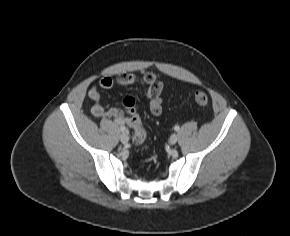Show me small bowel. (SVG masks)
<instances>
[{
    "mask_svg": "<svg viewBox=\"0 0 290 236\" xmlns=\"http://www.w3.org/2000/svg\"><path fill=\"white\" fill-rule=\"evenodd\" d=\"M140 83L147 87L146 96L149 100V109L154 116H159L163 110V84L159 81L155 74L151 72H139L134 74H122L116 79L110 76H104L99 81V87L103 89H111L114 85H130ZM88 97L94 102L92 106V114L96 117H113L115 121L121 125L129 122L125 113L115 107L106 110L100 101L99 89L94 86L90 88Z\"/></svg>",
    "mask_w": 290,
    "mask_h": 236,
    "instance_id": "obj_1",
    "label": "small bowel"
}]
</instances>
